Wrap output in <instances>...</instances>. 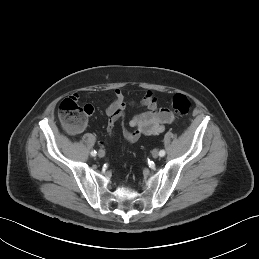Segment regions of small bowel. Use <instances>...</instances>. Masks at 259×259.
<instances>
[{"label": "small bowel", "instance_id": "c3829d8e", "mask_svg": "<svg viewBox=\"0 0 259 259\" xmlns=\"http://www.w3.org/2000/svg\"><path fill=\"white\" fill-rule=\"evenodd\" d=\"M111 97L112 101L106 109V114L109 117V126L123 113L129 104L120 89H115ZM138 105L146 110L132 117L129 121V128H126L123 132L125 140L130 143L136 142L144 135H157L164 130L166 124L175 121V116L172 112L158 107L157 97L151 91L144 95ZM86 107L87 115H92L94 112L93 106L86 104ZM109 133L113 134L110 131ZM100 144L105 145V141H100Z\"/></svg>", "mask_w": 259, "mask_h": 259}]
</instances>
